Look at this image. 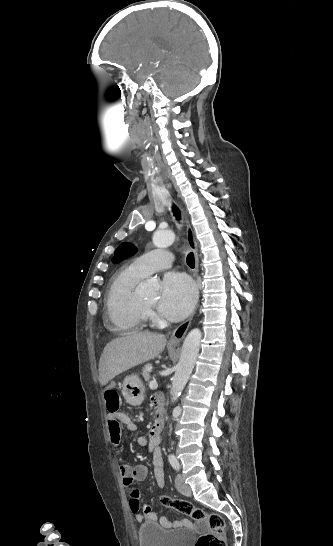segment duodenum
<instances>
[{
    "label": "duodenum",
    "instance_id": "410a0bca",
    "mask_svg": "<svg viewBox=\"0 0 333 546\" xmlns=\"http://www.w3.org/2000/svg\"><path fill=\"white\" fill-rule=\"evenodd\" d=\"M163 428V419L161 415H157L155 423L152 427L151 434L154 438L160 439L161 438V432Z\"/></svg>",
    "mask_w": 333,
    "mask_h": 546
}]
</instances>
